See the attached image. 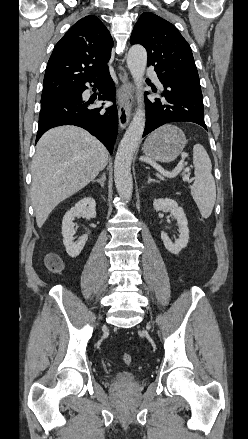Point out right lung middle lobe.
<instances>
[{
  "label": "right lung middle lobe",
  "mask_w": 248,
  "mask_h": 439,
  "mask_svg": "<svg viewBox=\"0 0 248 439\" xmlns=\"http://www.w3.org/2000/svg\"><path fill=\"white\" fill-rule=\"evenodd\" d=\"M51 98H53V97H51ZM48 99H50V98H43V97H41V103L46 101V100H48Z\"/></svg>",
  "instance_id": "dd1d6c3e"
}]
</instances>
